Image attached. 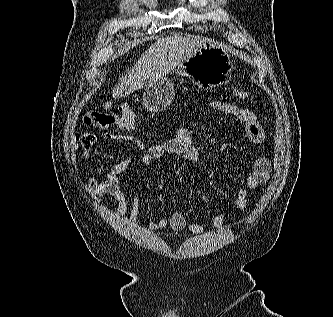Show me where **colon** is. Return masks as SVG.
<instances>
[{"instance_id":"5ec220e1","label":"colon","mask_w":333,"mask_h":317,"mask_svg":"<svg viewBox=\"0 0 333 317\" xmlns=\"http://www.w3.org/2000/svg\"><path fill=\"white\" fill-rule=\"evenodd\" d=\"M232 94L238 99H247L249 93L237 88L232 89ZM87 127L106 130L116 128L121 131L133 129L135 124V113L126 104L119 107L117 112H105L101 110H90L83 118Z\"/></svg>"}]
</instances>
